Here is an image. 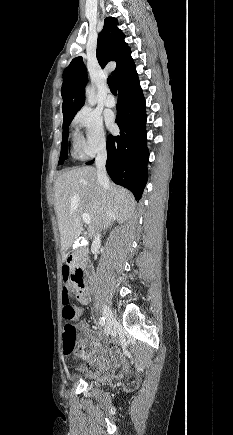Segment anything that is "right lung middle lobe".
I'll return each instance as SVG.
<instances>
[{
	"instance_id": "dd1d6c3e",
	"label": "right lung middle lobe",
	"mask_w": 233,
	"mask_h": 435,
	"mask_svg": "<svg viewBox=\"0 0 233 435\" xmlns=\"http://www.w3.org/2000/svg\"><path fill=\"white\" fill-rule=\"evenodd\" d=\"M74 116L75 115L64 117L62 146H61V153H60V159H59L58 165L63 164L64 161L67 159V155H68V144H67L68 130H69V125H70L72 119L74 118Z\"/></svg>"
}]
</instances>
